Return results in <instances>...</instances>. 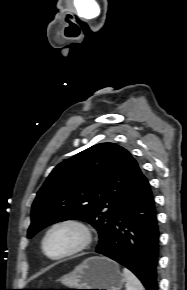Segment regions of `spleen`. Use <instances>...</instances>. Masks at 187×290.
Returning <instances> with one entry per match:
<instances>
[{
    "mask_svg": "<svg viewBox=\"0 0 187 290\" xmlns=\"http://www.w3.org/2000/svg\"><path fill=\"white\" fill-rule=\"evenodd\" d=\"M126 279V290H144L138 278L127 268H123Z\"/></svg>",
    "mask_w": 187,
    "mask_h": 290,
    "instance_id": "3e777b00",
    "label": "spleen"
}]
</instances>
